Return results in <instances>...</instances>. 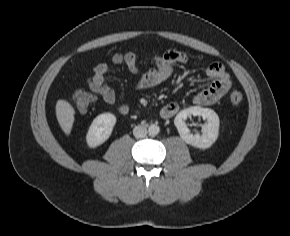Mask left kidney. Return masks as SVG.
<instances>
[{
  "label": "left kidney",
  "mask_w": 290,
  "mask_h": 236,
  "mask_svg": "<svg viewBox=\"0 0 290 236\" xmlns=\"http://www.w3.org/2000/svg\"><path fill=\"white\" fill-rule=\"evenodd\" d=\"M201 116L207 122L202 126V134H192L187 127L185 120L190 116ZM174 124L179 132L180 137L189 145L206 149L212 146L217 140L219 133V117L212 109L202 108L199 106L189 107L180 111L175 119Z\"/></svg>",
  "instance_id": "left-kidney-1"
}]
</instances>
